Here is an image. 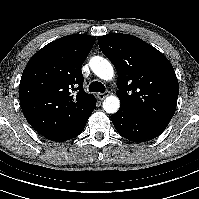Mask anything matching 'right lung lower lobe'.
<instances>
[{
	"label": "right lung lower lobe",
	"mask_w": 199,
	"mask_h": 199,
	"mask_svg": "<svg viewBox=\"0 0 199 199\" xmlns=\"http://www.w3.org/2000/svg\"><path fill=\"white\" fill-rule=\"evenodd\" d=\"M95 107H96V103H95L94 107L92 108V110L87 115V117L74 129L67 131L58 136L48 137L47 139H49L51 141H56V142H63V141L70 140V139L78 136L83 131V129L87 123V120H88L89 116L91 115L92 111L95 109Z\"/></svg>",
	"instance_id": "1"
}]
</instances>
